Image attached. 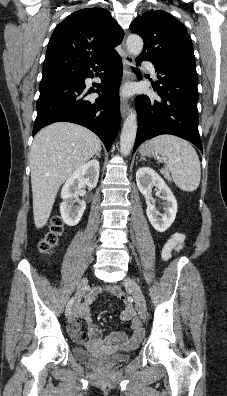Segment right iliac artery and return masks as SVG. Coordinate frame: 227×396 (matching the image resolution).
Wrapping results in <instances>:
<instances>
[{
  "label": "right iliac artery",
  "instance_id": "obj_1",
  "mask_svg": "<svg viewBox=\"0 0 227 396\" xmlns=\"http://www.w3.org/2000/svg\"><path fill=\"white\" fill-rule=\"evenodd\" d=\"M74 300H75V297H72V298L68 301V303H67V305H66V310H65V315H66V316H68V315L70 314L71 307H72V305H73V303H74Z\"/></svg>",
  "mask_w": 227,
  "mask_h": 396
}]
</instances>
